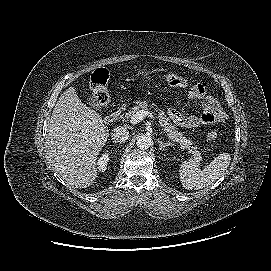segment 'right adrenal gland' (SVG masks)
I'll return each instance as SVG.
<instances>
[{
    "label": "right adrenal gland",
    "mask_w": 271,
    "mask_h": 271,
    "mask_svg": "<svg viewBox=\"0 0 271 271\" xmlns=\"http://www.w3.org/2000/svg\"><path fill=\"white\" fill-rule=\"evenodd\" d=\"M113 143L117 145V143L115 141H113Z\"/></svg>",
    "instance_id": "right-adrenal-gland-1"
}]
</instances>
